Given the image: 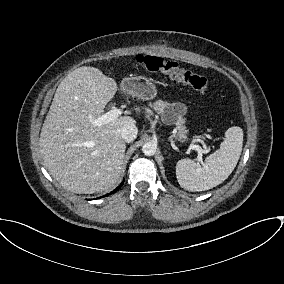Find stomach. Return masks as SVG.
<instances>
[{"instance_id":"obj_1","label":"stomach","mask_w":284,"mask_h":284,"mask_svg":"<svg viewBox=\"0 0 284 284\" xmlns=\"http://www.w3.org/2000/svg\"><path fill=\"white\" fill-rule=\"evenodd\" d=\"M121 89L129 95L143 100L153 99L157 94L156 86L144 76L124 78L121 82Z\"/></svg>"}]
</instances>
